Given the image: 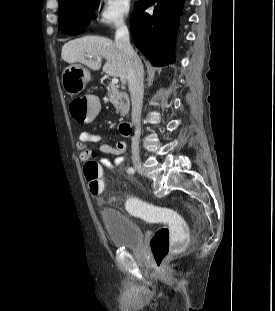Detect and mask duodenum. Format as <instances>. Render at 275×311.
<instances>
[{
    "label": "duodenum",
    "mask_w": 275,
    "mask_h": 311,
    "mask_svg": "<svg viewBox=\"0 0 275 311\" xmlns=\"http://www.w3.org/2000/svg\"><path fill=\"white\" fill-rule=\"evenodd\" d=\"M134 130V127L131 123L129 122H121L119 125V131L123 136H130L132 135Z\"/></svg>",
    "instance_id": "duodenum-1"
}]
</instances>
